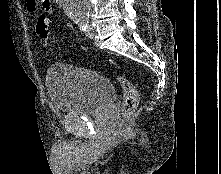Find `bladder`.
Returning <instances> with one entry per match:
<instances>
[{"label": "bladder", "mask_w": 221, "mask_h": 174, "mask_svg": "<svg viewBox=\"0 0 221 174\" xmlns=\"http://www.w3.org/2000/svg\"><path fill=\"white\" fill-rule=\"evenodd\" d=\"M48 96L54 107L67 114H99L115 100L111 81L91 69L56 63L46 72Z\"/></svg>", "instance_id": "31cf9c89"}]
</instances>
